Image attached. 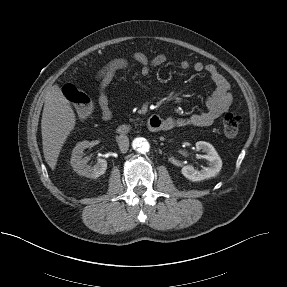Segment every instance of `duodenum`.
Listing matches in <instances>:
<instances>
[{"label":"duodenum","instance_id":"duodenum-1","mask_svg":"<svg viewBox=\"0 0 287 287\" xmlns=\"http://www.w3.org/2000/svg\"><path fill=\"white\" fill-rule=\"evenodd\" d=\"M147 126L150 131L157 132L162 130L163 123L159 116H151L147 120ZM133 130L132 126L129 124H120L116 128V132L120 135H126L129 134Z\"/></svg>","mask_w":287,"mask_h":287}]
</instances>
